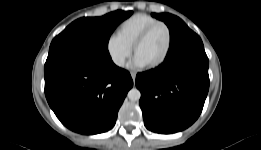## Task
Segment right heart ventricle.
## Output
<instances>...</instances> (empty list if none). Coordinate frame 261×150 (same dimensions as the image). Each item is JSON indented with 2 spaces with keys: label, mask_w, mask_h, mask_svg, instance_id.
<instances>
[{
  "label": "right heart ventricle",
  "mask_w": 261,
  "mask_h": 150,
  "mask_svg": "<svg viewBox=\"0 0 261 150\" xmlns=\"http://www.w3.org/2000/svg\"><path fill=\"white\" fill-rule=\"evenodd\" d=\"M159 21L158 19L145 14L136 13L123 20L116 29V35L131 48L137 37L152 23Z\"/></svg>",
  "instance_id": "e07e8e85"
}]
</instances>
